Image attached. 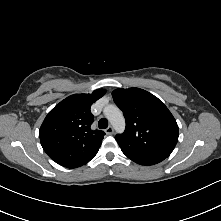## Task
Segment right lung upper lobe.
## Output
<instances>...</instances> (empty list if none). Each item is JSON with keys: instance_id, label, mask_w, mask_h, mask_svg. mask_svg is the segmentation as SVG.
I'll return each instance as SVG.
<instances>
[{"instance_id": "right-lung-upper-lobe-1", "label": "right lung upper lobe", "mask_w": 221, "mask_h": 221, "mask_svg": "<svg viewBox=\"0 0 221 221\" xmlns=\"http://www.w3.org/2000/svg\"><path fill=\"white\" fill-rule=\"evenodd\" d=\"M74 94L57 104L44 119L39 137L47 155L61 166L77 168L88 163L98 152L103 131L91 129L94 117L91 105L105 94Z\"/></svg>"}]
</instances>
